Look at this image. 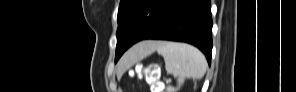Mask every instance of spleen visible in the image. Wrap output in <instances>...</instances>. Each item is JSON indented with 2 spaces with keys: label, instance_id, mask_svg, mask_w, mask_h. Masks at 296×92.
Wrapping results in <instances>:
<instances>
[{
  "label": "spleen",
  "instance_id": "obj_1",
  "mask_svg": "<svg viewBox=\"0 0 296 92\" xmlns=\"http://www.w3.org/2000/svg\"><path fill=\"white\" fill-rule=\"evenodd\" d=\"M155 49L165 61L168 74L177 77V88H169L170 92L179 89L185 79L194 81L201 79L207 70L204 55L195 47L176 42H157Z\"/></svg>",
  "mask_w": 296,
  "mask_h": 92
}]
</instances>
